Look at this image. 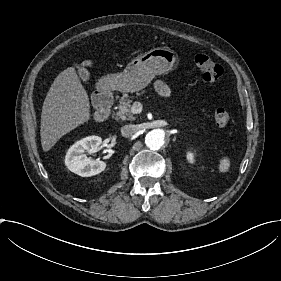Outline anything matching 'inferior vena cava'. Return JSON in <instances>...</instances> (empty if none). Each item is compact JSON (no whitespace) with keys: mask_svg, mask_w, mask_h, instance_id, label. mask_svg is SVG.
I'll use <instances>...</instances> for the list:
<instances>
[{"mask_svg":"<svg viewBox=\"0 0 281 281\" xmlns=\"http://www.w3.org/2000/svg\"><path fill=\"white\" fill-rule=\"evenodd\" d=\"M138 131V127L136 125H125L121 128V134L124 137H131L133 136L135 133H137Z\"/></svg>","mask_w":281,"mask_h":281,"instance_id":"602c4592","label":"inferior vena cava"}]
</instances>
